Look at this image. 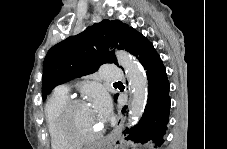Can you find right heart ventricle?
Masks as SVG:
<instances>
[{"instance_id":"right-heart-ventricle-1","label":"right heart ventricle","mask_w":227,"mask_h":149,"mask_svg":"<svg viewBox=\"0 0 227 149\" xmlns=\"http://www.w3.org/2000/svg\"><path fill=\"white\" fill-rule=\"evenodd\" d=\"M69 100L67 93L56 90L45 105V118L52 149H68L72 146L59 130L58 115L62 106Z\"/></svg>"}]
</instances>
